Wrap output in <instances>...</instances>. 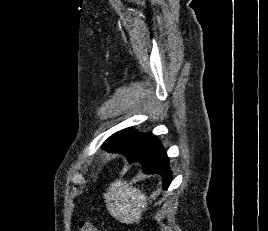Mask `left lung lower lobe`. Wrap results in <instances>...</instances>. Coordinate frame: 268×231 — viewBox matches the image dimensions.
<instances>
[{
  "instance_id": "obj_1",
  "label": "left lung lower lobe",
  "mask_w": 268,
  "mask_h": 231,
  "mask_svg": "<svg viewBox=\"0 0 268 231\" xmlns=\"http://www.w3.org/2000/svg\"><path fill=\"white\" fill-rule=\"evenodd\" d=\"M103 148L109 150L106 143ZM127 156L129 163L140 162L143 166V171L146 174H160L163 178V188L167 189L171 181V171L168 166V157L163 149L160 141L153 137L151 141L146 143L141 148H134L132 146L127 149L117 151Z\"/></svg>"
}]
</instances>
